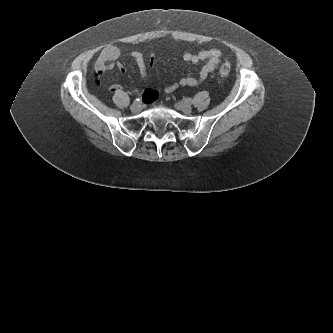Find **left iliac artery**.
<instances>
[{"label":"left iliac artery","mask_w":333,"mask_h":333,"mask_svg":"<svg viewBox=\"0 0 333 333\" xmlns=\"http://www.w3.org/2000/svg\"><path fill=\"white\" fill-rule=\"evenodd\" d=\"M187 102H188L189 104H192V103H193V100H192L191 98H188V99H187Z\"/></svg>","instance_id":"1"}]
</instances>
